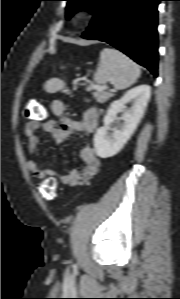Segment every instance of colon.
<instances>
[{
  "instance_id": "5ec220e1",
  "label": "colon",
  "mask_w": 180,
  "mask_h": 299,
  "mask_svg": "<svg viewBox=\"0 0 180 299\" xmlns=\"http://www.w3.org/2000/svg\"><path fill=\"white\" fill-rule=\"evenodd\" d=\"M26 117L30 120L42 121L47 117V110L37 100H30L27 104ZM44 198L51 200L56 198L58 185L54 178H46L37 185Z\"/></svg>"
}]
</instances>
